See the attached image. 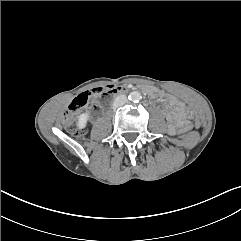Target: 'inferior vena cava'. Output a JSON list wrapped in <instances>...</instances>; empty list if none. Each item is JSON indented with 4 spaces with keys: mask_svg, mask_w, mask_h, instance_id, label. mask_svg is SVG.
<instances>
[{
    "mask_svg": "<svg viewBox=\"0 0 241 241\" xmlns=\"http://www.w3.org/2000/svg\"><path fill=\"white\" fill-rule=\"evenodd\" d=\"M127 103V97L125 95H118L114 102H113V108L116 109L120 106H123Z\"/></svg>",
    "mask_w": 241,
    "mask_h": 241,
    "instance_id": "602c4592",
    "label": "inferior vena cava"
}]
</instances>
